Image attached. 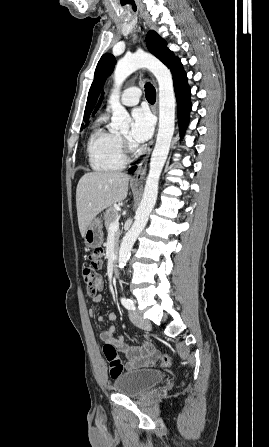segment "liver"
Instances as JSON below:
<instances>
[{"label": "liver", "instance_id": "6515ba94", "mask_svg": "<svg viewBox=\"0 0 269 447\" xmlns=\"http://www.w3.org/2000/svg\"><path fill=\"white\" fill-rule=\"evenodd\" d=\"M130 176L122 172H89L82 176L76 190L78 225L82 237L92 220L112 206L125 200Z\"/></svg>", "mask_w": 269, "mask_h": 447}]
</instances>
